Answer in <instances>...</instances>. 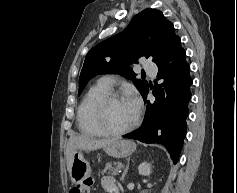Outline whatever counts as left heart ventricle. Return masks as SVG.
I'll list each match as a JSON object with an SVG mask.
<instances>
[{"label": "left heart ventricle", "instance_id": "b2bd125f", "mask_svg": "<svg viewBox=\"0 0 237 193\" xmlns=\"http://www.w3.org/2000/svg\"><path fill=\"white\" fill-rule=\"evenodd\" d=\"M135 115L136 108L131 101H114L106 107L103 122L112 130H121L133 121Z\"/></svg>", "mask_w": 237, "mask_h": 193}]
</instances>
